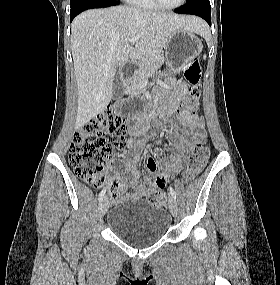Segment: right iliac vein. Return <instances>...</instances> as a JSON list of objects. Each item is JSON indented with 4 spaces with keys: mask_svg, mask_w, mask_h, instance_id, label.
I'll return each mask as SVG.
<instances>
[{
    "mask_svg": "<svg viewBox=\"0 0 280 285\" xmlns=\"http://www.w3.org/2000/svg\"><path fill=\"white\" fill-rule=\"evenodd\" d=\"M108 204H109L108 198L104 197L99 204V215H100V217H103L105 215V213L107 212Z\"/></svg>",
    "mask_w": 280,
    "mask_h": 285,
    "instance_id": "1",
    "label": "right iliac vein"
}]
</instances>
